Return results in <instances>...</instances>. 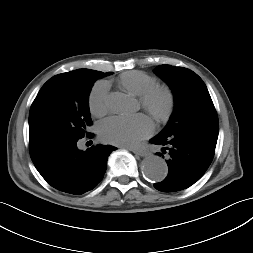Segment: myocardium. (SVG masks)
Here are the masks:
<instances>
[{
  "label": "myocardium",
  "mask_w": 253,
  "mask_h": 253,
  "mask_svg": "<svg viewBox=\"0 0 253 253\" xmlns=\"http://www.w3.org/2000/svg\"><path fill=\"white\" fill-rule=\"evenodd\" d=\"M159 98L164 99L162 108L157 107ZM140 104L158 122H166L175 110L176 97L174 91L169 86L155 85L140 96Z\"/></svg>",
  "instance_id": "myocardium-1"
}]
</instances>
